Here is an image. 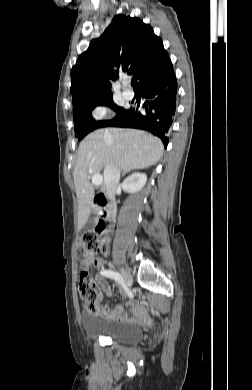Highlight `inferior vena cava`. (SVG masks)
<instances>
[{"mask_svg":"<svg viewBox=\"0 0 252 390\" xmlns=\"http://www.w3.org/2000/svg\"><path fill=\"white\" fill-rule=\"evenodd\" d=\"M120 168L114 164L106 165L104 169V183L106 195L110 199V207L115 209V195L119 187Z\"/></svg>","mask_w":252,"mask_h":390,"instance_id":"1","label":"inferior vena cava"}]
</instances>
